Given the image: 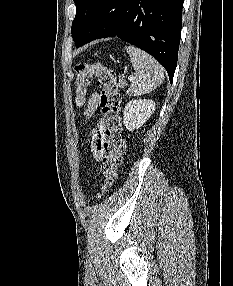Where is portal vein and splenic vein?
I'll list each match as a JSON object with an SVG mask.
<instances>
[{
  "label": "portal vein and splenic vein",
  "instance_id": "portal-vein-and-splenic-vein-1",
  "mask_svg": "<svg viewBox=\"0 0 233 286\" xmlns=\"http://www.w3.org/2000/svg\"><path fill=\"white\" fill-rule=\"evenodd\" d=\"M134 79L133 75L129 76V81H132Z\"/></svg>",
  "mask_w": 233,
  "mask_h": 286
}]
</instances>
